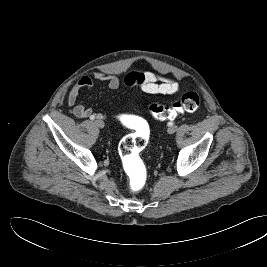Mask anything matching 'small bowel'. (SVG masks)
<instances>
[{"label": "small bowel", "mask_w": 267, "mask_h": 267, "mask_svg": "<svg viewBox=\"0 0 267 267\" xmlns=\"http://www.w3.org/2000/svg\"><path fill=\"white\" fill-rule=\"evenodd\" d=\"M96 79L105 83L110 91L117 90L121 85V81L116 75L98 73ZM124 84L129 88H140L147 93L164 95L174 94L180 88L176 80L150 71L131 72L125 77ZM93 86L94 80L88 76H83L70 90L67 97V104L74 116L78 118H90L94 115L99 119L104 118L102 113L94 112L91 108L86 107L78 100L82 90L91 89Z\"/></svg>", "instance_id": "small-bowel-1"}]
</instances>
